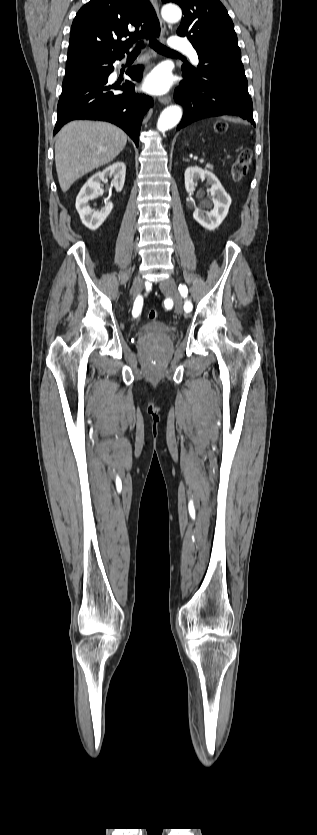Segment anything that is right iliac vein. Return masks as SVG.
I'll return each mask as SVG.
<instances>
[{"label": "right iliac vein", "mask_w": 317, "mask_h": 835, "mask_svg": "<svg viewBox=\"0 0 317 835\" xmlns=\"http://www.w3.org/2000/svg\"><path fill=\"white\" fill-rule=\"evenodd\" d=\"M143 288V281L139 275L134 278L133 285L130 290L131 296H136L140 293Z\"/></svg>", "instance_id": "63e3f726"}]
</instances>
